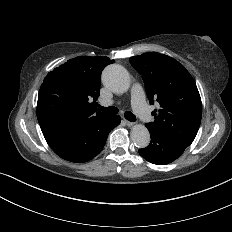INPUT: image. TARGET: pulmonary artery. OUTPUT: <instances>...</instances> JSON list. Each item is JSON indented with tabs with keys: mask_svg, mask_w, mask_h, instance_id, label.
<instances>
[{
	"mask_svg": "<svg viewBox=\"0 0 232 232\" xmlns=\"http://www.w3.org/2000/svg\"><path fill=\"white\" fill-rule=\"evenodd\" d=\"M131 89V97L133 101L132 108L139 113L147 123H152L154 121V115L148 107L144 105V100L142 99L139 91L140 83L138 81H133L131 83ZM118 101L123 103L125 98L123 96H120L118 99L116 97H109L108 99H104L100 102V104L103 106H110L111 104H116Z\"/></svg>",
	"mask_w": 232,
	"mask_h": 232,
	"instance_id": "obj_1",
	"label": "pulmonary artery"
}]
</instances>
